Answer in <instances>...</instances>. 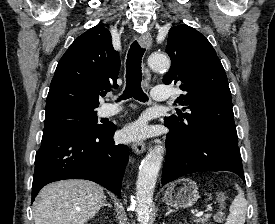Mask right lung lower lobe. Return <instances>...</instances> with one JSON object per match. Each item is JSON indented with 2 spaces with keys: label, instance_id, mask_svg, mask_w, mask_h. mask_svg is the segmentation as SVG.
I'll return each mask as SVG.
<instances>
[{
  "label": "right lung lower lobe",
  "instance_id": "obj_1",
  "mask_svg": "<svg viewBox=\"0 0 275 224\" xmlns=\"http://www.w3.org/2000/svg\"><path fill=\"white\" fill-rule=\"evenodd\" d=\"M116 126L97 131L67 126L44 128L35 157L32 202L48 183L64 179L94 181L121 197V183L129 158L126 145L113 140Z\"/></svg>",
  "mask_w": 275,
  "mask_h": 224
}]
</instances>
